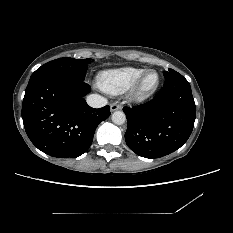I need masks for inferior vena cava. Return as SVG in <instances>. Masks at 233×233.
<instances>
[{
	"mask_svg": "<svg viewBox=\"0 0 233 233\" xmlns=\"http://www.w3.org/2000/svg\"><path fill=\"white\" fill-rule=\"evenodd\" d=\"M87 103L93 108H101L107 104V99L98 94H91L87 97Z\"/></svg>",
	"mask_w": 233,
	"mask_h": 233,
	"instance_id": "inferior-vena-cava-1",
	"label": "inferior vena cava"
}]
</instances>
